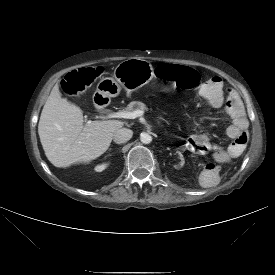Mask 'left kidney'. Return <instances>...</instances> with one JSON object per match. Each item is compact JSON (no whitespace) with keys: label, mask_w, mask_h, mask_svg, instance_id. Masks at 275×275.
I'll return each instance as SVG.
<instances>
[{"label":"left kidney","mask_w":275,"mask_h":275,"mask_svg":"<svg viewBox=\"0 0 275 275\" xmlns=\"http://www.w3.org/2000/svg\"><path fill=\"white\" fill-rule=\"evenodd\" d=\"M172 159L175 161L174 162V167L176 169H181L185 163L183 155L181 153L175 152L172 155Z\"/></svg>","instance_id":"obj_1"}]
</instances>
